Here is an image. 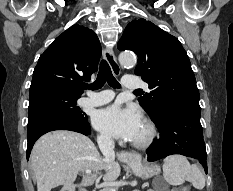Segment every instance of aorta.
I'll list each match as a JSON object with an SVG mask.
<instances>
[{"label": "aorta", "instance_id": "1", "mask_svg": "<svg viewBox=\"0 0 233 191\" xmlns=\"http://www.w3.org/2000/svg\"><path fill=\"white\" fill-rule=\"evenodd\" d=\"M119 63L126 68H133L136 64V57L132 52H121L118 57Z\"/></svg>", "mask_w": 233, "mask_h": 191}]
</instances>
